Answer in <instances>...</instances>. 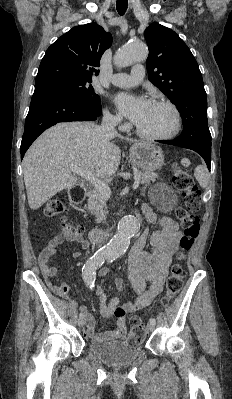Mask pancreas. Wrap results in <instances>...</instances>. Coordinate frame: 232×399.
<instances>
[{"label":"pancreas","instance_id":"obj_1","mask_svg":"<svg viewBox=\"0 0 232 399\" xmlns=\"http://www.w3.org/2000/svg\"><path fill=\"white\" fill-rule=\"evenodd\" d=\"M136 176H140V184H151V182H155L157 178H159L158 174H155V172H138ZM89 200H88V209L91 211V213H94L96 215L97 223H100L102 221L106 211V201L108 200L106 194H103V192H100L98 188H94L92 192H89L87 194Z\"/></svg>","mask_w":232,"mask_h":399}]
</instances>
